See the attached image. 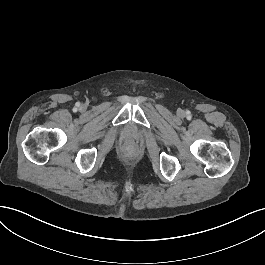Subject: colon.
<instances>
[{"label": "colon", "mask_w": 265, "mask_h": 265, "mask_svg": "<svg viewBox=\"0 0 265 265\" xmlns=\"http://www.w3.org/2000/svg\"><path fill=\"white\" fill-rule=\"evenodd\" d=\"M129 150H132V147H129Z\"/></svg>", "instance_id": "obj_1"}]
</instances>
